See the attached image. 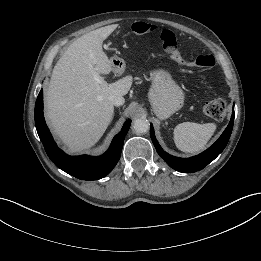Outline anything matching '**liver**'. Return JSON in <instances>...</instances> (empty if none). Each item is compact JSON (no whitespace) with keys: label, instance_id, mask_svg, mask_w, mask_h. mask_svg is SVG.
Masks as SVG:
<instances>
[{"label":"liver","instance_id":"1","mask_svg":"<svg viewBox=\"0 0 261 261\" xmlns=\"http://www.w3.org/2000/svg\"><path fill=\"white\" fill-rule=\"evenodd\" d=\"M108 27L75 40L56 63L46 91V116L70 152L89 149L102 137L114 115L111 95H126L130 76L108 84L112 63L102 49Z\"/></svg>","mask_w":261,"mask_h":261}]
</instances>
